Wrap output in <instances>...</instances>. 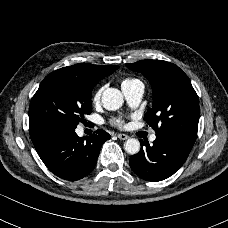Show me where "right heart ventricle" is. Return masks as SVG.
<instances>
[{
	"instance_id": "e07e8e85",
	"label": "right heart ventricle",
	"mask_w": 228,
	"mask_h": 228,
	"mask_svg": "<svg viewBox=\"0 0 228 228\" xmlns=\"http://www.w3.org/2000/svg\"><path fill=\"white\" fill-rule=\"evenodd\" d=\"M135 80H138V79L132 78V77H126V78L122 79L121 86L124 85V84L131 83V82H133Z\"/></svg>"
}]
</instances>
